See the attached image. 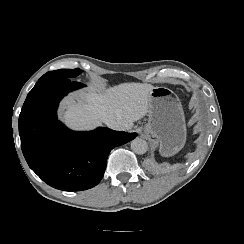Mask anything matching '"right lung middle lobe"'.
<instances>
[{
  "instance_id": "obj_1",
  "label": "right lung middle lobe",
  "mask_w": 244,
  "mask_h": 244,
  "mask_svg": "<svg viewBox=\"0 0 244 244\" xmlns=\"http://www.w3.org/2000/svg\"><path fill=\"white\" fill-rule=\"evenodd\" d=\"M80 69H60L55 71H50L44 74L39 81H43L45 79H59V78H74L80 74Z\"/></svg>"
}]
</instances>
